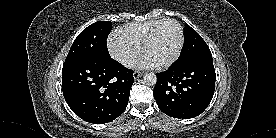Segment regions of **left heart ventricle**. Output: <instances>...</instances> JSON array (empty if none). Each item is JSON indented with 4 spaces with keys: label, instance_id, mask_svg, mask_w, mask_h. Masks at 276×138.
<instances>
[{
    "label": "left heart ventricle",
    "instance_id": "b2bd125f",
    "mask_svg": "<svg viewBox=\"0 0 276 138\" xmlns=\"http://www.w3.org/2000/svg\"><path fill=\"white\" fill-rule=\"evenodd\" d=\"M180 43V32L173 23H166L160 27L152 44L144 55L155 65L168 62L176 53Z\"/></svg>",
    "mask_w": 276,
    "mask_h": 138
}]
</instances>
